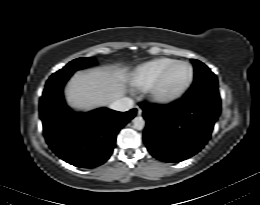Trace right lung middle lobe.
I'll return each instance as SVG.
<instances>
[{
    "label": "right lung middle lobe",
    "instance_id": "obj_1",
    "mask_svg": "<svg viewBox=\"0 0 260 205\" xmlns=\"http://www.w3.org/2000/svg\"><path fill=\"white\" fill-rule=\"evenodd\" d=\"M94 64H96V61L92 57L78 58V59H75V60L71 61L70 63H68L64 68L57 71L56 73L59 74V73L67 72V71H75V70L83 69L85 67H88V66H91Z\"/></svg>",
    "mask_w": 260,
    "mask_h": 205
}]
</instances>
